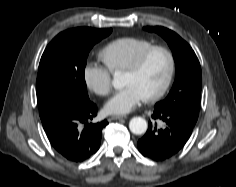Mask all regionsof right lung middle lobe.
Masks as SVG:
<instances>
[{
  "mask_svg": "<svg viewBox=\"0 0 236 187\" xmlns=\"http://www.w3.org/2000/svg\"><path fill=\"white\" fill-rule=\"evenodd\" d=\"M112 29L79 27L58 34L39 64L36 94L43 127L62 111L88 101L84 69L93 45Z\"/></svg>",
  "mask_w": 236,
  "mask_h": 187,
  "instance_id": "right-lung-middle-lobe-1",
  "label": "right lung middle lobe"
}]
</instances>
